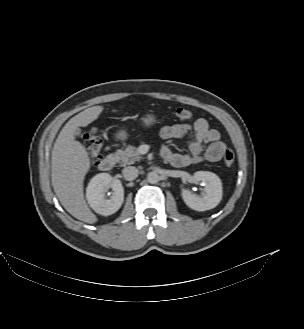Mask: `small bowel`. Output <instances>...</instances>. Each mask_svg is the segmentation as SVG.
Returning <instances> with one entry per match:
<instances>
[{
	"mask_svg": "<svg viewBox=\"0 0 304 329\" xmlns=\"http://www.w3.org/2000/svg\"><path fill=\"white\" fill-rule=\"evenodd\" d=\"M190 132H193V138L188 142V153L175 152L169 146L162 148V157L172 166L182 168L202 161L217 162L222 158L226 146L220 140V133L203 118L193 125L164 126L160 136L165 140L184 139Z\"/></svg>",
	"mask_w": 304,
	"mask_h": 329,
	"instance_id": "1",
	"label": "small bowel"
}]
</instances>
